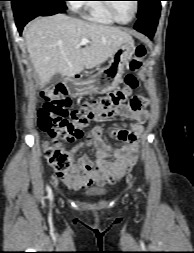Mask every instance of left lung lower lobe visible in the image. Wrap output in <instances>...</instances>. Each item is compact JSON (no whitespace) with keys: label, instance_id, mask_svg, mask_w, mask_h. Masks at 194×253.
Listing matches in <instances>:
<instances>
[{"label":"left lung lower lobe","instance_id":"obj_1","mask_svg":"<svg viewBox=\"0 0 194 253\" xmlns=\"http://www.w3.org/2000/svg\"><path fill=\"white\" fill-rule=\"evenodd\" d=\"M160 1L151 3L143 13L138 17L135 25V29L146 34L149 38H152L160 16L161 4Z\"/></svg>","mask_w":194,"mask_h":253}]
</instances>
